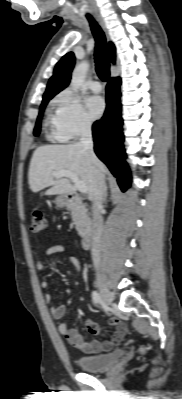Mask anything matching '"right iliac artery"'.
I'll return each instance as SVG.
<instances>
[{"instance_id": "1", "label": "right iliac artery", "mask_w": 182, "mask_h": 399, "mask_svg": "<svg viewBox=\"0 0 182 399\" xmlns=\"http://www.w3.org/2000/svg\"><path fill=\"white\" fill-rule=\"evenodd\" d=\"M92 301L97 306L101 303V297L97 291L92 292Z\"/></svg>"}]
</instances>
